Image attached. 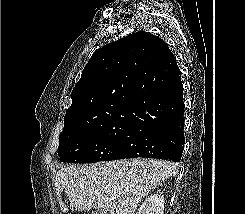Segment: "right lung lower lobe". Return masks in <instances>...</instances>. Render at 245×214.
I'll list each match as a JSON object with an SVG mask.
<instances>
[{
  "label": "right lung lower lobe",
  "instance_id": "obj_1",
  "mask_svg": "<svg viewBox=\"0 0 245 214\" xmlns=\"http://www.w3.org/2000/svg\"><path fill=\"white\" fill-rule=\"evenodd\" d=\"M165 87L144 99L133 118L117 159L158 158L179 162L185 143L181 72L173 57L167 66ZM116 160V159H115Z\"/></svg>",
  "mask_w": 245,
  "mask_h": 214
}]
</instances>
